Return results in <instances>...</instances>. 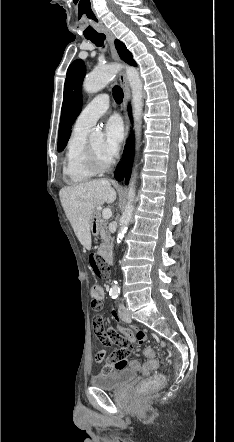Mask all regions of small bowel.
Wrapping results in <instances>:
<instances>
[{
  "mask_svg": "<svg viewBox=\"0 0 234 442\" xmlns=\"http://www.w3.org/2000/svg\"><path fill=\"white\" fill-rule=\"evenodd\" d=\"M112 316L118 320L115 311H112ZM102 320V315L97 314L92 322L94 332L98 334L99 341L102 344H117L120 349L129 350L130 352L132 347L131 342L141 344L145 341V334L142 331L134 330L121 324L117 326L118 330L114 326H110L107 331V329L104 328Z\"/></svg>",
  "mask_w": 234,
  "mask_h": 442,
  "instance_id": "1",
  "label": "small bowel"
}]
</instances>
